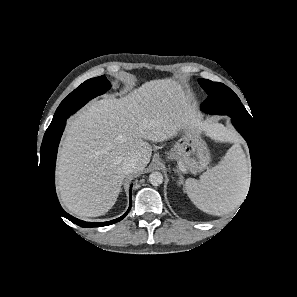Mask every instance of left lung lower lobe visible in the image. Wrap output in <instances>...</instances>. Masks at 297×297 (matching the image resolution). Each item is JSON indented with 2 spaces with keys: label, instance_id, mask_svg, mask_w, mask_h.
Here are the masks:
<instances>
[{
  "label": "left lung lower lobe",
  "instance_id": "1",
  "mask_svg": "<svg viewBox=\"0 0 297 297\" xmlns=\"http://www.w3.org/2000/svg\"><path fill=\"white\" fill-rule=\"evenodd\" d=\"M231 119H232V123H233L234 127L245 138V140L247 141V144L249 146V149H250V156H251V163H252V176H251V186H252L253 175H254V172H256V168L258 165V157H259V155H258V140L256 138V130H255V127L253 124L241 121L235 117H231ZM250 190H251V187H250ZM250 190H249V192H250Z\"/></svg>",
  "mask_w": 297,
  "mask_h": 297
}]
</instances>
